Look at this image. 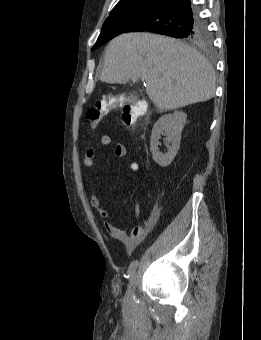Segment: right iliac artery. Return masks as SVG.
<instances>
[{"mask_svg":"<svg viewBox=\"0 0 261 340\" xmlns=\"http://www.w3.org/2000/svg\"><path fill=\"white\" fill-rule=\"evenodd\" d=\"M137 266H138V261L137 260H134V261L131 262V264H130V266L128 268V271H127V273H128L127 277L128 278L132 277V275L134 274Z\"/></svg>","mask_w":261,"mask_h":340,"instance_id":"1","label":"right iliac artery"}]
</instances>
